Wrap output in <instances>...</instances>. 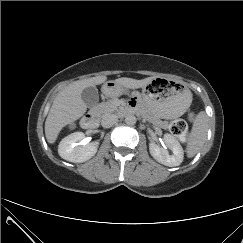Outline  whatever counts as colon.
<instances>
[{
  "label": "colon",
  "instance_id": "obj_1",
  "mask_svg": "<svg viewBox=\"0 0 243 243\" xmlns=\"http://www.w3.org/2000/svg\"><path fill=\"white\" fill-rule=\"evenodd\" d=\"M193 115L190 114L188 119L192 120ZM170 130L171 132L179 137L182 140H186L189 136V125L187 123V121L183 120V119H176L174 121H172L171 125H170Z\"/></svg>",
  "mask_w": 243,
  "mask_h": 243
}]
</instances>
